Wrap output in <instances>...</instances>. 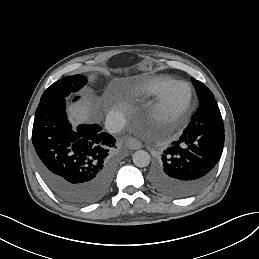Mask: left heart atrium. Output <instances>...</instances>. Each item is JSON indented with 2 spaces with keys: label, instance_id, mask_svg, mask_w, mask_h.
<instances>
[{
  "label": "left heart atrium",
  "instance_id": "1",
  "mask_svg": "<svg viewBox=\"0 0 259 259\" xmlns=\"http://www.w3.org/2000/svg\"><path fill=\"white\" fill-rule=\"evenodd\" d=\"M166 150L172 154H177V153L181 152V148L178 146H171V147H168Z\"/></svg>",
  "mask_w": 259,
  "mask_h": 259
}]
</instances>
